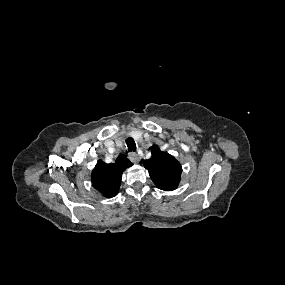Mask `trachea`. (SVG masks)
Segmentation results:
<instances>
[{
    "mask_svg": "<svg viewBox=\"0 0 285 285\" xmlns=\"http://www.w3.org/2000/svg\"><path fill=\"white\" fill-rule=\"evenodd\" d=\"M126 144H127L129 152H135L136 151V143H135L133 138H131V137L127 138Z\"/></svg>",
    "mask_w": 285,
    "mask_h": 285,
    "instance_id": "trachea-1",
    "label": "trachea"
}]
</instances>
